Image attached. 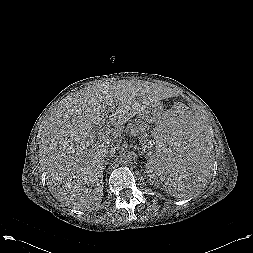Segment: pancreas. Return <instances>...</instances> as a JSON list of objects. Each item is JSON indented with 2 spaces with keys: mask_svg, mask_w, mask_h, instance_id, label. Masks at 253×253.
I'll return each instance as SVG.
<instances>
[{
  "mask_svg": "<svg viewBox=\"0 0 253 253\" xmlns=\"http://www.w3.org/2000/svg\"><path fill=\"white\" fill-rule=\"evenodd\" d=\"M148 130L149 125L140 119L131 121L126 127V131H129L131 135H140L141 143L144 145H146L148 141Z\"/></svg>",
  "mask_w": 253,
  "mask_h": 253,
  "instance_id": "pancreas-1",
  "label": "pancreas"
}]
</instances>
